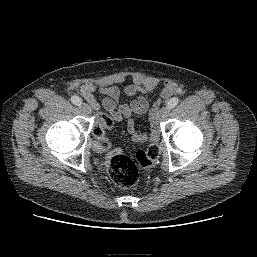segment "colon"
Instances as JSON below:
<instances>
[{
  "label": "colon",
  "instance_id": "5ec220e1",
  "mask_svg": "<svg viewBox=\"0 0 257 257\" xmlns=\"http://www.w3.org/2000/svg\"><path fill=\"white\" fill-rule=\"evenodd\" d=\"M114 120L105 116L94 126L92 134L94 137L93 147L97 151L105 149L108 144L106 131L111 129ZM159 149L156 145L136 152L134 159L125 156L120 150H114L108 164V172L113 182L121 188L134 186L139 178V167L149 168L157 160Z\"/></svg>",
  "mask_w": 257,
  "mask_h": 257
}]
</instances>
